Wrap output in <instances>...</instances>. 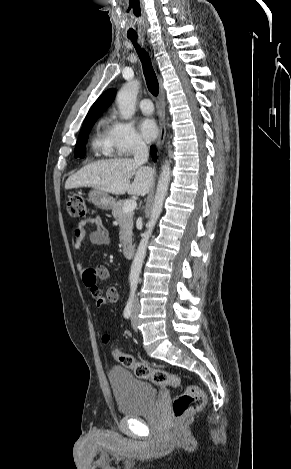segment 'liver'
Masks as SVG:
<instances>
[{
  "instance_id": "liver-1",
  "label": "liver",
  "mask_w": 291,
  "mask_h": 469,
  "mask_svg": "<svg viewBox=\"0 0 291 469\" xmlns=\"http://www.w3.org/2000/svg\"><path fill=\"white\" fill-rule=\"evenodd\" d=\"M154 175L153 168L131 158H116L84 166L66 180L65 188L92 187L116 195L127 192L145 196L152 188Z\"/></svg>"
}]
</instances>
